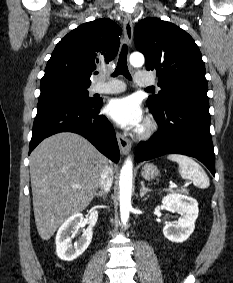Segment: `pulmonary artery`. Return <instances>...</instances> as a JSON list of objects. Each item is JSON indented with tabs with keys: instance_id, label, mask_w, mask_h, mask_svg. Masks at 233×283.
I'll return each mask as SVG.
<instances>
[{
	"instance_id": "e3ab8cb5",
	"label": "pulmonary artery",
	"mask_w": 233,
	"mask_h": 283,
	"mask_svg": "<svg viewBox=\"0 0 233 283\" xmlns=\"http://www.w3.org/2000/svg\"><path fill=\"white\" fill-rule=\"evenodd\" d=\"M108 79L107 82L105 83H97L93 87V91L97 93H105V94H114V93H120L125 90V85L122 81L110 78L106 76ZM135 82L138 86H150L154 85L156 82L155 80L143 73V72H138L135 76Z\"/></svg>"
}]
</instances>
